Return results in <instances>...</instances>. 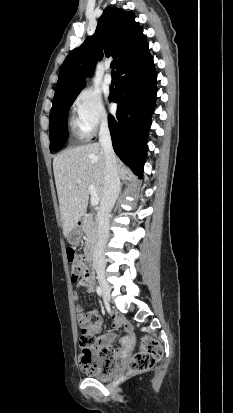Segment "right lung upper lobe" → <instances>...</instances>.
<instances>
[{"instance_id":"1","label":"right lung upper lobe","mask_w":233,"mask_h":413,"mask_svg":"<svg viewBox=\"0 0 233 413\" xmlns=\"http://www.w3.org/2000/svg\"><path fill=\"white\" fill-rule=\"evenodd\" d=\"M135 15L116 7H107L99 18L95 34L71 51L59 71L53 104L77 95L86 74L94 72L97 59L112 56L119 65L146 44L143 28Z\"/></svg>"}]
</instances>
